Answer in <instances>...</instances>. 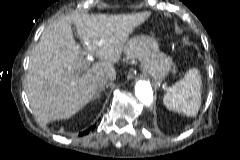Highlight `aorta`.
I'll list each match as a JSON object with an SVG mask.
<instances>
[{
    "instance_id": "obj_1",
    "label": "aorta",
    "mask_w": 240,
    "mask_h": 160,
    "mask_svg": "<svg viewBox=\"0 0 240 160\" xmlns=\"http://www.w3.org/2000/svg\"><path fill=\"white\" fill-rule=\"evenodd\" d=\"M135 95L137 99L146 107L153 103V91L149 82L138 81L135 85Z\"/></svg>"
}]
</instances>
